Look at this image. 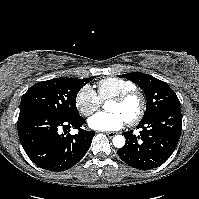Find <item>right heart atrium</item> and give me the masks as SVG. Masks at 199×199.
I'll return each instance as SVG.
<instances>
[{
  "label": "right heart atrium",
  "mask_w": 199,
  "mask_h": 199,
  "mask_svg": "<svg viewBox=\"0 0 199 199\" xmlns=\"http://www.w3.org/2000/svg\"><path fill=\"white\" fill-rule=\"evenodd\" d=\"M75 105L82 116L89 117L99 110L101 101L94 89L85 85L78 91Z\"/></svg>",
  "instance_id": "obj_1"
}]
</instances>
